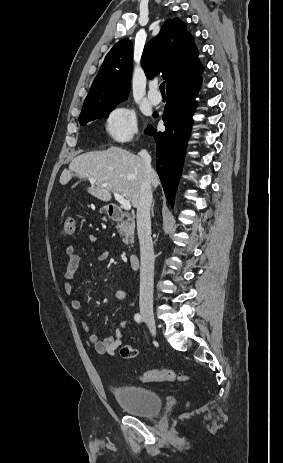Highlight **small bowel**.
Listing matches in <instances>:
<instances>
[{"mask_svg":"<svg viewBox=\"0 0 283 463\" xmlns=\"http://www.w3.org/2000/svg\"><path fill=\"white\" fill-rule=\"evenodd\" d=\"M88 240L92 243L97 242L98 238L94 233L88 235ZM66 253V265H65V279L64 284L65 293L71 298L70 305L74 311H79L82 307V300L74 296V287L72 280L74 279L78 265L79 255L76 253V249L73 245H68L65 249ZM109 257V251H102L97 260L102 262ZM114 297L118 301H125L127 299V293L123 290H117L114 293ZM83 330L88 333V340L94 346L98 354H109L114 357L121 356L126 359H133L137 356V349L128 344L122 346V331L129 325L128 321H122L115 330L114 335H108L104 339L100 340L96 334L90 333L89 327L85 322L81 323ZM122 346V347H121ZM120 349L119 352L117 350Z\"/></svg>","mask_w":283,"mask_h":463,"instance_id":"small-bowel-1","label":"small bowel"}]
</instances>
